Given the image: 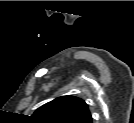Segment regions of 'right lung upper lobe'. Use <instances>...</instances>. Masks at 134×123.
Listing matches in <instances>:
<instances>
[{
	"label": "right lung upper lobe",
	"mask_w": 134,
	"mask_h": 123,
	"mask_svg": "<svg viewBox=\"0 0 134 123\" xmlns=\"http://www.w3.org/2000/svg\"><path fill=\"white\" fill-rule=\"evenodd\" d=\"M35 123H92L87 104L75 96H61L38 108L30 117Z\"/></svg>",
	"instance_id": "obj_1"
}]
</instances>
